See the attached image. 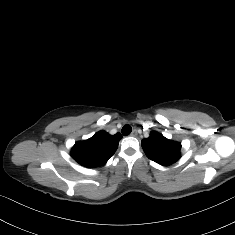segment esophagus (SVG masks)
Wrapping results in <instances>:
<instances>
[{
	"label": "esophagus",
	"instance_id": "obj_1",
	"mask_svg": "<svg viewBox=\"0 0 235 235\" xmlns=\"http://www.w3.org/2000/svg\"><path fill=\"white\" fill-rule=\"evenodd\" d=\"M137 134H138L137 130L134 129V130L131 132L130 136L135 137V136H137Z\"/></svg>",
	"mask_w": 235,
	"mask_h": 235
}]
</instances>
